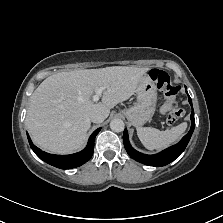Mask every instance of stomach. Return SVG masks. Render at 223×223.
Returning a JSON list of instances; mask_svg holds the SVG:
<instances>
[{"label":"stomach","instance_id":"1","mask_svg":"<svg viewBox=\"0 0 223 223\" xmlns=\"http://www.w3.org/2000/svg\"><path fill=\"white\" fill-rule=\"evenodd\" d=\"M152 70H149L139 79L135 89L137 102L131 109L124 112L127 119L135 127L144 125L154 112L157 88L152 79Z\"/></svg>","mask_w":223,"mask_h":223}]
</instances>
